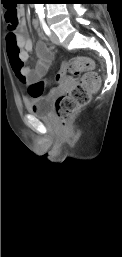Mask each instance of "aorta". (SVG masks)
Returning a JSON list of instances; mask_svg holds the SVG:
<instances>
[{
    "label": "aorta",
    "instance_id": "obj_1",
    "mask_svg": "<svg viewBox=\"0 0 122 257\" xmlns=\"http://www.w3.org/2000/svg\"><path fill=\"white\" fill-rule=\"evenodd\" d=\"M44 4H35V9L37 13H43L44 12Z\"/></svg>",
    "mask_w": 122,
    "mask_h": 257
}]
</instances>
